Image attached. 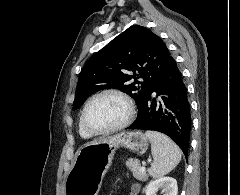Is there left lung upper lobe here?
Segmentation results:
<instances>
[{"label":"left lung upper lobe","instance_id":"left-lung-upper-lobe-1","mask_svg":"<svg viewBox=\"0 0 240 195\" xmlns=\"http://www.w3.org/2000/svg\"><path fill=\"white\" fill-rule=\"evenodd\" d=\"M171 58L165 43L153 32L140 25L129 27L83 66L73 110L95 92L113 88L133 97L139 113Z\"/></svg>","mask_w":240,"mask_h":195}]
</instances>
